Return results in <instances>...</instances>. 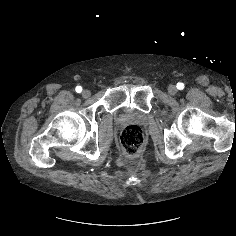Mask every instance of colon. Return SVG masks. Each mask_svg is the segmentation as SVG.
Listing matches in <instances>:
<instances>
[{
	"mask_svg": "<svg viewBox=\"0 0 236 236\" xmlns=\"http://www.w3.org/2000/svg\"><path fill=\"white\" fill-rule=\"evenodd\" d=\"M120 142L128 156L138 154L145 143L143 130L137 125L127 126L121 133Z\"/></svg>",
	"mask_w": 236,
	"mask_h": 236,
	"instance_id": "colon-1",
	"label": "colon"
}]
</instances>
